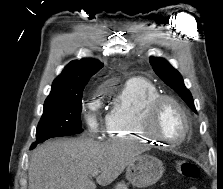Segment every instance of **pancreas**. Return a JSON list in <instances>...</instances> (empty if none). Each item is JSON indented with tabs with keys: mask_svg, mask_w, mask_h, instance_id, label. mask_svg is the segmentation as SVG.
<instances>
[{
	"mask_svg": "<svg viewBox=\"0 0 223 189\" xmlns=\"http://www.w3.org/2000/svg\"><path fill=\"white\" fill-rule=\"evenodd\" d=\"M116 189H128V188H127V185L126 184L119 183V184H117Z\"/></svg>",
	"mask_w": 223,
	"mask_h": 189,
	"instance_id": "pancreas-1",
	"label": "pancreas"
}]
</instances>
